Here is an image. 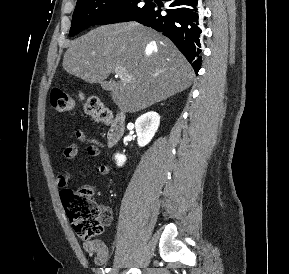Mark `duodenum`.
<instances>
[{"instance_id":"obj_1","label":"duodenum","mask_w":289,"mask_h":274,"mask_svg":"<svg viewBox=\"0 0 289 274\" xmlns=\"http://www.w3.org/2000/svg\"><path fill=\"white\" fill-rule=\"evenodd\" d=\"M125 126H126L125 112L122 110H118L114 114L107 132V145L109 147H113L120 141L125 132Z\"/></svg>"}]
</instances>
